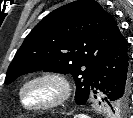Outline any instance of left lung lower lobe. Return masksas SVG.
<instances>
[{"instance_id":"obj_1","label":"left lung lower lobe","mask_w":133,"mask_h":118,"mask_svg":"<svg viewBox=\"0 0 133 118\" xmlns=\"http://www.w3.org/2000/svg\"><path fill=\"white\" fill-rule=\"evenodd\" d=\"M114 102L130 97V57L127 42L119 32L111 47L97 64L91 79L88 100L97 98ZM87 100V101H88ZM125 110H121L123 113Z\"/></svg>"}]
</instances>
